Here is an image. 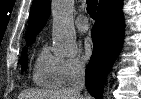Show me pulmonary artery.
Masks as SVG:
<instances>
[{"instance_id": "1", "label": "pulmonary artery", "mask_w": 141, "mask_h": 99, "mask_svg": "<svg viewBox=\"0 0 141 99\" xmlns=\"http://www.w3.org/2000/svg\"><path fill=\"white\" fill-rule=\"evenodd\" d=\"M75 26L79 31L86 32L89 29L88 19L84 15H80L75 20Z\"/></svg>"}]
</instances>
